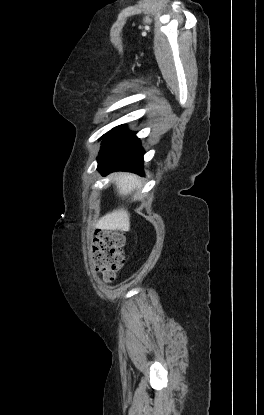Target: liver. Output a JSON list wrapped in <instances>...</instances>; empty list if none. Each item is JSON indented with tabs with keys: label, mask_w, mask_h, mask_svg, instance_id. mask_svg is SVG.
Wrapping results in <instances>:
<instances>
[{
	"label": "liver",
	"mask_w": 264,
	"mask_h": 415,
	"mask_svg": "<svg viewBox=\"0 0 264 415\" xmlns=\"http://www.w3.org/2000/svg\"><path fill=\"white\" fill-rule=\"evenodd\" d=\"M118 193L121 196L130 195L134 190L141 187L138 176L128 173H117L113 175ZM96 227L102 230L129 231L130 215L124 208L107 213L96 223Z\"/></svg>",
	"instance_id": "1"
}]
</instances>
